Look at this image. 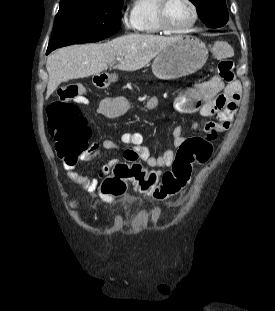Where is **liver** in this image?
<instances>
[{
    "instance_id": "6515ba94",
    "label": "liver",
    "mask_w": 275,
    "mask_h": 311,
    "mask_svg": "<svg viewBox=\"0 0 275 311\" xmlns=\"http://www.w3.org/2000/svg\"><path fill=\"white\" fill-rule=\"evenodd\" d=\"M179 38L128 34L103 44L61 48L47 59L49 81L46 97L48 98L62 82L100 74L117 58H123L117 65L120 70H139Z\"/></svg>"
}]
</instances>
